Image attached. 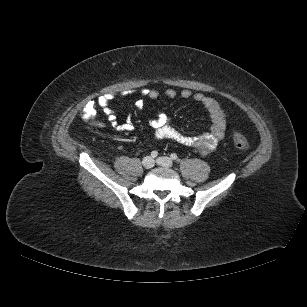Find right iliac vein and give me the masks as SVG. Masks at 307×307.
Listing matches in <instances>:
<instances>
[{
  "label": "right iliac vein",
  "instance_id": "obj_1",
  "mask_svg": "<svg viewBox=\"0 0 307 307\" xmlns=\"http://www.w3.org/2000/svg\"><path fill=\"white\" fill-rule=\"evenodd\" d=\"M142 165L144 166V168L146 169H151L154 166V160L150 157V156H146L143 160H142Z\"/></svg>",
  "mask_w": 307,
  "mask_h": 307
}]
</instances>
